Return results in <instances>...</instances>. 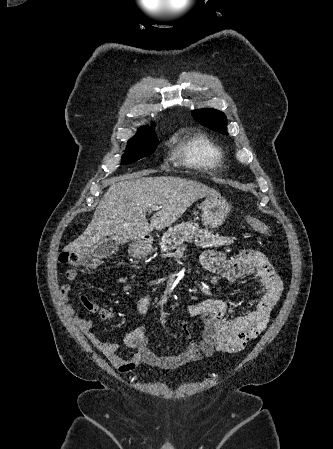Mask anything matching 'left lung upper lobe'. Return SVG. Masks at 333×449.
<instances>
[{"instance_id": "obj_1", "label": "left lung upper lobe", "mask_w": 333, "mask_h": 449, "mask_svg": "<svg viewBox=\"0 0 333 449\" xmlns=\"http://www.w3.org/2000/svg\"><path fill=\"white\" fill-rule=\"evenodd\" d=\"M192 114L195 120L203 125L215 131L227 134L226 117L222 112L215 109H202L195 110Z\"/></svg>"}]
</instances>
